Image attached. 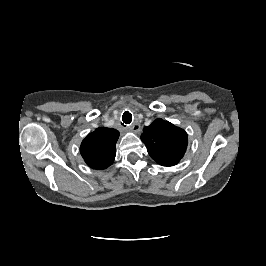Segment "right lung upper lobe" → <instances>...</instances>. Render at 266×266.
I'll list each match as a JSON object with an SVG mask.
<instances>
[{
    "instance_id": "right-lung-upper-lobe-1",
    "label": "right lung upper lobe",
    "mask_w": 266,
    "mask_h": 266,
    "mask_svg": "<svg viewBox=\"0 0 266 266\" xmlns=\"http://www.w3.org/2000/svg\"><path fill=\"white\" fill-rule=\"evenodd\" d=\"M118 138L117 130L105 127L97 128L88 134L80 147V153L86 164L97 170L109 167L115 159V145Z\"/></svg>"
}]
</instances>
